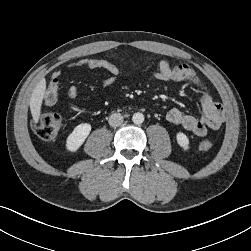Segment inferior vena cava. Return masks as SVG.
<instances>
[{
	"mask_svg": "<svg viewBox=\"0 0 251 251\" xmlns=\"http://www.w3.org/2000/svg\"><path fill=\"white\" fill-rule=\"evenodd\" d=\"M109 125L112 127H117L123 123V116L120 113H113L109 117Z\"/></svg>",
	"mask_w": 251,
	"mask_h": 251,
	"instance_id": "inferior-vena-cava-1",
	"label": "inferior vena cava"
}]
</instances>
